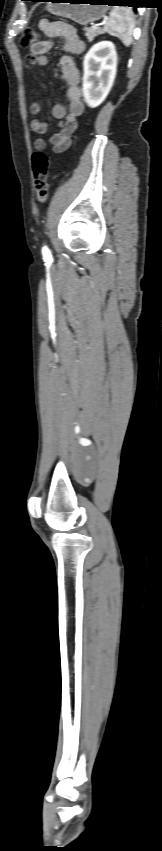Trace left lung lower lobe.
I'll return each instance as SVG.
<instances>
[{"instance_id":"obj_1","label":"left lung lower lobe","mask_w":162,"mask_h":851,"mask_svg":"<svg viewBox=\"0 0 162 851\" xmlns=\"http://www.w3.org/2000/svg\"><path fill=\"white\" fill-rule=\"evenodd\" d=\"M34 1H43V0H34ZM107 3H108L109 5H124V6H130V4H134V3H135V1H133V0H107Z\"/></svg>"}]
</instances>
